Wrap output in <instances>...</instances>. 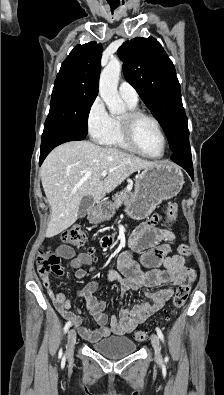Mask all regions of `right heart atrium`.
Segmentation results:
<instances>
[{
  "label": "right heart atrium",
  "mask_w": 224,
  "mask_h": 395,
  "mask_svg": "<svg viewBox=\"0 0 224 395\" xmlns=\"http://www.w3.org/2000/svg\"><path fill=\"white\" fill-rule=\"evenodd\" d=\"M111 122L112 117L103 100L96 97L90 104L86 116V125L90 136L99 141L109 131Z\"/></svg>",
  "instance_id": "1"
}]
</instances>
